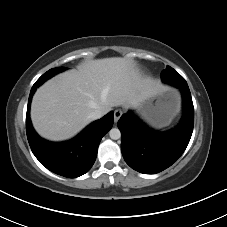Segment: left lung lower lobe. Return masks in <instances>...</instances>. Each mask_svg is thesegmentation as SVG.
Wrapping results in <instances>:
<instances>
[{
  "mask_svg": "<svg viewBox=\"0 0 227 227\" xmlns=\"http://www.w3.org/2000/svg\"><path fill=\"white\" fill-rule=\"evenodd\" d=\"M180 89L183 100L181 123L166 132L147 127L132 113L123 114L118 122L121 150L126 163L144 174H155L171 166L185 151L194 125V107L186 84H171Z\"/></svg>",
  "mask_w": 227,
  "mask_h": 227,
  "instance_id": "obj_1",
  "label": "left lung lower lobe"
}]
</instances>
